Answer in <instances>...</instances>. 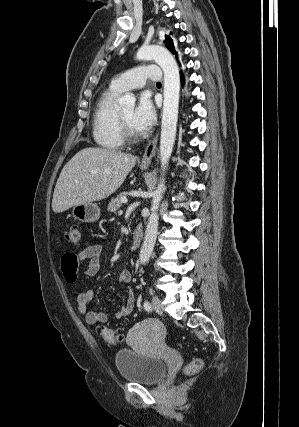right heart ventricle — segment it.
Returning <instances> with one entry per match:
<instances>
[{"mask_svg": "<svg viewBox=\"0 0 299 427\" xmlns=\"http://www.w3.org/2000/svg\"><path fill=\"white\" fill-rule=\"evenodd\" d=\"M120 94L112 85L109 86L101 93L94 108L92 135L95 143L108 151L119 150L124 145L116 106Z\"/></svg>", "mask_w": 299, "mask_h": 427, "instance_id": "1", "label": "right heart ventricle"}]
</instances>
